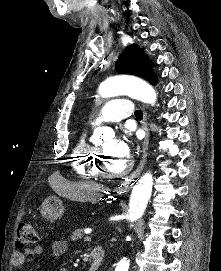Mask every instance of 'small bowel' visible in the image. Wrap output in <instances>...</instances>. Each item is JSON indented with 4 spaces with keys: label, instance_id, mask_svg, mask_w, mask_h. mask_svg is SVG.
<instances>
[{
    "label": "small bowel",
    "instance_id": "obj_1",
    "mask_svg": "<svg viewBox=\"0 0 221 271\" xmlns=\"http://www.w3.org/2000/svg\"><path fill=\"white\" fill-rule=\"evenodd\" d=\"M67 250V242L64 239H57L52 244V254L54 257L62 256ZM42 253L41 246H34L24 252L16 251L11 258V264L14 267L21 266L26 259L34 258ZM60 271H67V268H61Z\"/></svg>",
    "mask_w": 221,
    "mask_h": 271
}]
</instances>
